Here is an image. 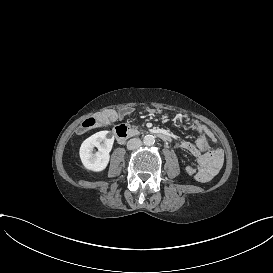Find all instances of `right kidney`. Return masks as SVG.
Returning a JSON list of instances; mask_svg holds the SVG:
<instances>
[{
  "instance_id": "obj_1",
  "label": "right kidney",
  "mask_w": 273,
  "mask_h": 273,
  "mask_svg": "<svg viewBox=\"0 0 273 273\" xmlns=\"http://www.w3.org/2000/svg\"><path fill=\"white\" fill-rule=\"evenodd\" d=\"M114 142V135L110 131H100L83 141L80 147V158L84 167L92 171H102L106 168L110 151ZM98 151L94 152V148Z\"/></svg>"
}]
</instances>
